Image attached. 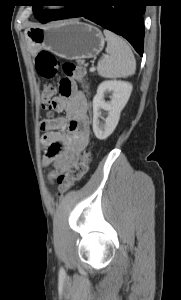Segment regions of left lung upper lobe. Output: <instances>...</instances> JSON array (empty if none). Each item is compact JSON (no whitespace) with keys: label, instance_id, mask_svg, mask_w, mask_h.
Returning a JSON list of instances; mask_svg holds the SVG:
<instances>
[{"label":"left lung upper lobe","instance_id":"obj_1","mask_svg":"<svg viewBox=\"0 0 181 300\" xmlns=\"http://www.w3.org/2000/svg\"><path fill=\"white\" fill-rule=\"evenodd\" d=\"M33 12L35 17L41 22L46 23L51 16L55 14L56 11H44L40 9V6L34 5L33 6Z\"/></svg>","mask_w":181,"mask_h":300}]
</instances>
